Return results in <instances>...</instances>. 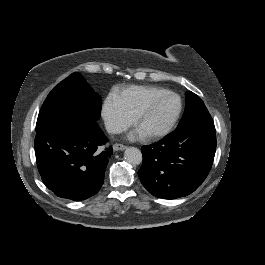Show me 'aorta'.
<instances>
[{"label":"aorta","instance_id":"aorta-1","mask_svg":"<svg viewBox=\"0 0 265 265\" xmlns=\"http://www.w3.org/2000/svg\"><path fill=\"white\" fill-rule=\"evenodd\" d=\"M124 159L129 164L137 165L142 161L141 151L136 147H129L124 152Z\"/></svg>","mask_w":265,"mask_h":265}]
</instances>
